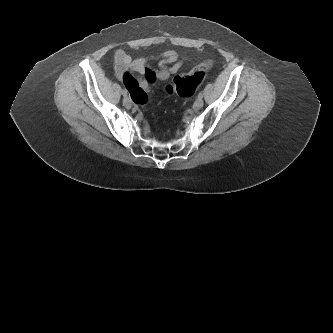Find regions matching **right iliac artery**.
<instances>
[{"instance_id":"82829eb1","label":"right iliac artery","mask_w":333,"mask_h":333,"mask_svg":"<svg viewBox=\"0 0 333 333\" xmlns=\"http://www.w3.org/2000/svg\"><path fill=\"white\" fill-rule=\"evenodd\" d=\"M122 94H123L124 96H126V95H127V90H126V89H123V90H122Z\"/></svg>"}]
</instances>
